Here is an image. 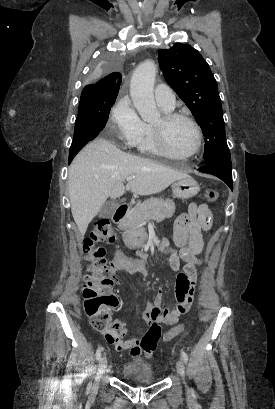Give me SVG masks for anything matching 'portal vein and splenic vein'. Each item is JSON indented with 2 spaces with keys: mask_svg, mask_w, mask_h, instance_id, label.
I'll return each instance as SVG.
<instances>
[{
  "mask_svg": "<svg viewBox=\"0 0 275 409\" xmlns=\"http://www.w3.org/2000/svg\"><path fill=\"white\" fill-rule=\"evenodd\" d=\"M132 178H134V176H127L126 180H132Z\"/></svg>",
  "mask_w": 275,
  "mask_h": 409,
  "instance_id": "1",
  "label": "portal vein and splenic vein"
}]
</instances>
